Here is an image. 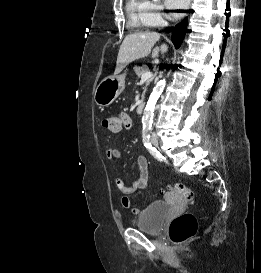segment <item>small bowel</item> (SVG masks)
Listing matches in <instances>:
<instances>
[{
  "instance_id": "small-bowel-1",
  "label": "small bowel",
  "mask_w": 261,
  "mask_h": 273,
  "mask_svg": "<svg viewBox=\"0 0 261 273\" xmlns=\"http://www.w3.org/2000/svg\"><path fill=\"white\" fill-rule=\"evenodd\" d=\"M121 124L126 129H131L134 126V120L131 115L121 112L119 115ZM106 157L110 160L117 159L121 157V150L116 148H108L105 152ZM137 165L139 168V177L136 180H133L130 185H127L125 180L122 177H117L115 179L116 187L123 193L121 198V205L124 208H130L131 202L129 196L135 194L138 190H146L147 180H148V160L144 154H139L137 156ZM132 212L139 213L140 210L133 208Z\"/></svg>"
}]
</instances>
